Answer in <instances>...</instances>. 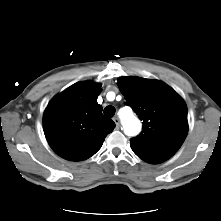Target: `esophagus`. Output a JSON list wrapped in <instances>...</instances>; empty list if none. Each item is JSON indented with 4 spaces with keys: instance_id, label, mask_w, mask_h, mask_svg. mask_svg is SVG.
Wrapping results in <instances>:
<instances>
[{
    "instance_id": "1",
    "label": "esophagus",
    "mask_w": 221,
    "mask_h": 221,
    "mask_svg": "<svg viewBox=\"0 0 221 221\" xmlns=\"http://www.w3.org/2000/svg\"><path fill=\"white\" fill-rule=\"evenodd\" d=\"M113 121L115 122L116 128L119 129V127H120V121H119V119H118L117 117H115V118L113 119Z\"/></svg>"
}]
</instances>
